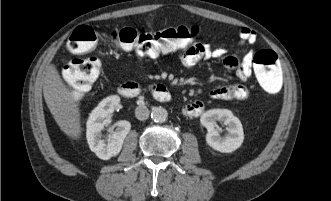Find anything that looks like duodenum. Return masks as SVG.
<instances>
[{
    "label": "duodenum",
    "instance_id": "obj_1",
    "mask_svg": "<svg viewBox=\"0 0 331 201\" xmlns=\"http://www.w3.org/2000/svg\"><path fill=\"white\" fill-rule=\"evenodd\" d=\"M118 93L125 98H134L141 93V86L136 82H125L119 86ZM151 94L159 102H168L171 99L168 89L161 83L151 86Z\"/></svg>",
    "mask_w": 331,
    "mask_h": 201
}]
</instances>
